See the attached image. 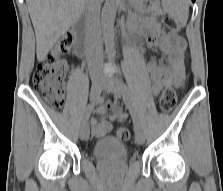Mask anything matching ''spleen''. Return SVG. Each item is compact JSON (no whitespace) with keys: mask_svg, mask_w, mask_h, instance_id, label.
I'll return each mask as SVG.
<instances>
[{"mask_svg":"<svg viewBox=\"0 0 223 191\" xmlns=\"http://www.w3.org/2000/svg\"><path fill=\"white\" fill-rule=\"evenodd\" d=\"M171 7L169 12L173 17L177 18L181 22H186L188 18V5L187 0H169Z\"/></svg>","mask_w":223,"mask_h":191,"instance_id":"spleen-1","label":"spleen"}]
</instances>
